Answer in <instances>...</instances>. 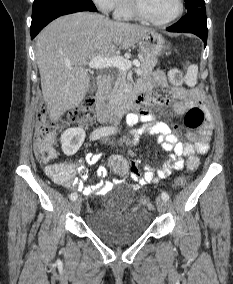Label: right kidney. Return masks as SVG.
<instances>
[{"label":"right kidney","mask_w":233,"mask_h":284,"mask_svg":"<svg viewBox=\"0 0 233 284\" xmlns=\"http://www.w3.org/2000/svg\"><path fill=\"white\" fill-rule=\"evenodd\" d=\"M85 131L82 128L67 129L61 135L62 151L67 156L74 155L85 140Z\"/></svg>","instance_id":"ca27d5eb"}]
</instances>
